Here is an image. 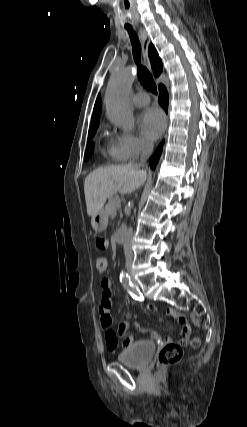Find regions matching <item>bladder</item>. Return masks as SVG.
<instances>
[{"label": "bladder", "mask_w": 247, "mask_h": 427, "mask_svg": "<svg viewBox=\"0 0 247 427\" xmlns=\"http://www.w3.org/2000/svg\"><path fill=\"white\" fill-rule=\"evenodd\" d=\"M156 345L152 341H137L121 351L117 360L129 368H142L153 357Z\"/></svg>", "instance_id": "31cf9c89"}]
</instances>
